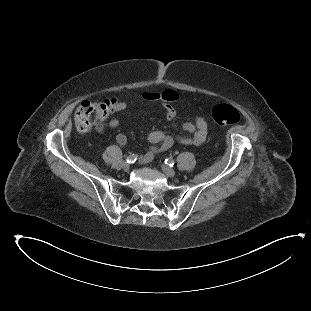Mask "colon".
<instances>
[{
  "mask_svg": "<svg viewBox=\"0 0 311 311\" xmlns=\"http://www.w3.org/2000/svg\"><path fill=\"white\" fill-rule=\"evenodd\" d=\"M144 98L153 102L175 101L178 98L176 91L164 90L162 92L148 91L143 94ZM112 105L108 101L91 103L82 102L75 112V124L79 132L89 131L96 121L103 120L108 116V109ZM213 120L219 125H236L240 122L239 112L231 105H217L211 112Z\"/></svg>",
  "mask_w": 311,
  "mask_h": 311,
  "instance_id": "colon-1",
  "label": "colon"
}]
</instances>
